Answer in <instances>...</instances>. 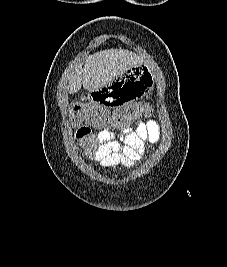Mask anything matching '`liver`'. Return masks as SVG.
Returning <instances> with one entry per match:
<instances>
[{
	"label": "liver",
	"mask_w": 227,
	"mask_h": 267,
	"mask_svg": "<svg viewBox=\"0 0 227 267\" xmlns=\"http://www.w3.org/2000/svg\"><path fill=\"white\" fill-rule=\"evenodd\" d=\"M141 60L134 53L123 49H108L89 56L83 70L75 69L67 78V90L76 93L83 85L84 89L94 91V87H106V82H112V77L132 68Z\"/></svg>",
	"instance_id": "liver-1"
}]
</instances>
